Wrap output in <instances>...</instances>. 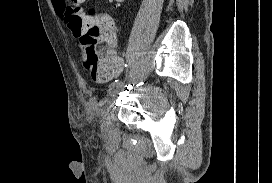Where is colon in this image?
I'll return each mask as SVG.
<instances>
[{"instance_id":"colon-1","label":"colon","mask_w":272,"mask_h":183,"mask_svg":"<svg viewBox=\"0 0 272 183\" xmlns=\"http://www.w3.org/2000/svg\"><path fill=\"white\" fill-rule=\"evenodd\" d=\"M79 0H63L65 23L80 41V54L92 76L105 79L116 69L117 29L110 17L93 8L82 10ZM113 1V0H109ZM121 2L123 0H115Z\"/></svg>"}]
</instances>
